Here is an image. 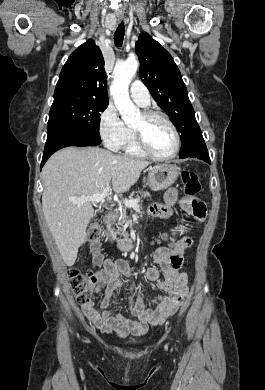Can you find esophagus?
<instances>
[{
  "mask_svg": "<svg viewBox=\"0 0 265 390\" xmlns=\"http://www.w3.org/2000/svg\"><path fill=\"white\" fill-rule=\"evenodd\" d=\"M118 20L120 21V20H122V18H121V17H119V18H118Z\"/></svg>",
  "mask_w": 265,
  "mask_h": 390,
  "instance_id": "obj_1",
  "label": "esophagus"
}]
</instances>
